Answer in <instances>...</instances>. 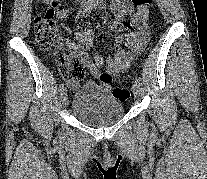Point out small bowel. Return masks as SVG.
I'll return each instance as SVG.
<instances>
[{
    "mask_svg": "<svg viewBox=\"0 0 207 179\" xmlns=\"http://www.w3.org/2000/svg\"><path fill=\"white\" fill-rule=\"evenodd\" d=\"M110 10L117 18H122L128 14L132 15L133 21L140 25L142 34L139 41L136 39L137 35L132 32L117 38L115 55L114 57L107 58V70L105 73L102 72V67L105 63L103 57L90 52L93 43V33L90 29L83 28L80 24H77L75 27L76 43L61 41L58 46L60 50H67L70 47L78 48L81 46L82 50L80 51V56L84 66L90 70L95 78L100 80L103 75L118 78L121 72L126 71L134 60V53H139L143 50L148 35V26L146 23L148 20L147 9H143L139 13H132L129 0H112ZM56 15L59 19H66L69 15V10L67 7L63 6ZM123 30H127V28L123 27ZM123 46L131 48L132 52L126 51ZM104 85L108 88L110 87V84ZM72 86L73 85H71V87Z\"/></svg>",
    "mask_w": 207,
    "mask_h": 179,
    "instance_id": "obj_1",
    "label": "small bowel"
}]
</instances>
